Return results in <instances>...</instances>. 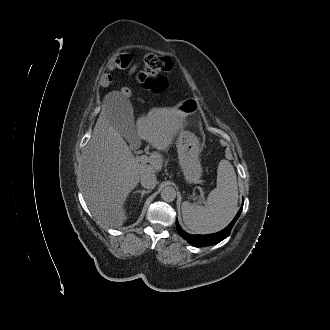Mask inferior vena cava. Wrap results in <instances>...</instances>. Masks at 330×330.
<instances>
[{
    "label": "inferior vena cava",
    "instance_id": "1",
    "mask_svg": "<svg viewBox=\"0 0 330 330\" xmlns=\"http://www.w3.org/2000/svg\"><path fill=\"white\" fill-rule=\"evenodd\" d=\"M140 180L141 185L146 189H153L157 184L156 175L151 172L144 173Z\"/></svg>",
    "mask_w": 330,
    "mask_h": 330
}]
</instances>
